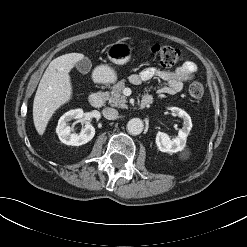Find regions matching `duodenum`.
I'll return each instance as SVG.
<instances>
[{
  "instance_id": "duodenum-1",
  "label": "duodenum",
  "mask_w": 247,
  "mask_h": 247,
  "mask_svg": "<svg viewBox=\"0 0 247 247\" xmlns=\"http://www.w3.org/2000/svg\"><path fill=\"white\" fill-rule=\"evenodd\" d=\"M106 101V96L102 92H95L89 96V103L93 107H101ZM153 102L151 96H145L140 102V108L149 107Z\"/></svg>"
}]
</instances>
